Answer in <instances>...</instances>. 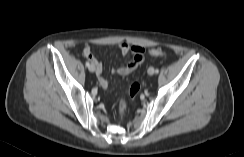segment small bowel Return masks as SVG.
<instances>
[{
	"label": "small bowel",
	"instance_id": "obj_1",
	"mask_svg": "<svg viewBox=\"0 0 244 157\" xmlns=\"http://www.w3.org/2000/svg\"><path fill=\"white\" fill-rule=\"evenodd\" d=\"M119 50L123 55H127L129 53L132 54L131 61L125 65L112 70L113 73H117L119 75H127L133 72L143 61L139 60L138 57L144 53V48L138 45H129L127 43H121L119 45ZM84 57H86L92 65L95 67L96 75L98 81L102 87H106L108 82L106 78L103 76V66L102 63L93 55L91 49L89 47H85L82 50Z\"/></svg>",
	"mask_w": 244,
	"mask_h": 157
}]
</instances>
